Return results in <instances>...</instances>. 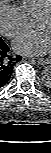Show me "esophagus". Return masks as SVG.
Segmentation results:
<instances>
[{
  "label": "esophagus",
  "mask_w": 51,
  "mask_h": 153,
  "mask_svg": "<svg viewBox=\"0 0 51 153\" xmlns=\"http://www.w3.org/2000/svg\"><path fill=\"white\" fill-rule=\"evenodd\" d=\"M51 63V59L49 57H46V58H40L38 60V64L40 65H48Z\"/></svg>",
  "instance_id": "1"
}]
</instances>
